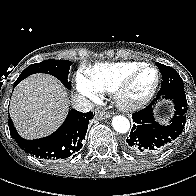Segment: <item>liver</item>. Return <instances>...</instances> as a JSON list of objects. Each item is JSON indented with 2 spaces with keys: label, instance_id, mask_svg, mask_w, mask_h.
Returning a JSON list of instances; mask_svg holds the SVG:
<instances>
[{
  "label": "liver",
  "instance_id": "liver-1",
  "mask_svg": "<svg viewBox=\"0 0 196 196\" xmlns=\"http://www.w3.org/2000/svg\"><path fill=\"white\" fill-rule=\"evenodd\" d=\"M68 92L55 77L35 74L14 90L10 116L18 132L27 139L52 133L68 111Z\"/></svg>",
  "mask_w": 196,
  "mask_h": 196
}]
</instances>
